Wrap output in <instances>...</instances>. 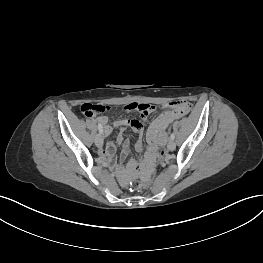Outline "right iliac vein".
Returning a JSON list of instances; mask_svg holds the SVG:
<instances>
[{
  "label": "right iliac vein",
  "instance_id": "right-iliac-vein-1",
  "mask_svg": "<svg viewBox=\"0 0 263 263\" xmlns=\"http://www.w3.org/2000/svg\"><path fill=\"white\" fill-rule=\"evenodd\" d=\"M95 144L98 148L103 146V138L100 133L95 136Z\"/></svg>",
  "mask_w": 263,
  "mask_h": 263
}]
</instances>
